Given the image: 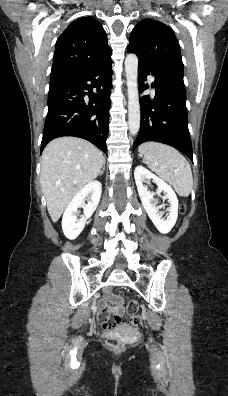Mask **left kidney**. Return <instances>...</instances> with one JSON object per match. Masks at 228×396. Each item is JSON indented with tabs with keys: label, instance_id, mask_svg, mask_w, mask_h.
Wrapping results in <instances>:
<instances>
[{
	"label": "left kidney",
	"instance_id": "1",
	"mask_svg": "<svg viewBox=\"0 0 228 396\" xmlns=\"http://www.w3.org/2000/svg\"><path fill=\"white\" fill-rule=\"evenodd\" d=\"M134 178L141 202L149 218L159 232L163 234L170 232L178 217V199L174 190L165 181L154 175L142 165L135 168ZM149 180H153L158 186L156 192L149 191L147 186L144 185V183H147ZM162 192L165 194L164 198L168 199L170 203V207L168 208L169 213L166 219L162 217L163 213L159 211L164 205L157 206L158 202L154 199L155 194L160 195Z\"/></svg>",
	"mask_w": 228,
	"mask_h": 396
}]
</instances>
